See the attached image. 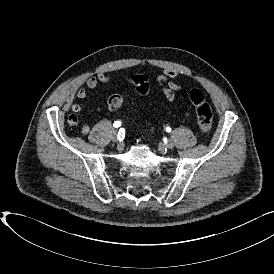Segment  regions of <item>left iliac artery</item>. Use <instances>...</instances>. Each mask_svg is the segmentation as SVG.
<instances>
[{
    "mask_svg": "<svg viewBox=\"0 0 274 274\" xmlns=\"http://www.w3.org/2000/svg\"><path fill=\"white\" fill-rule=\"evenodd\" d=\"M166 131L167 132H171V128L170 127H166Z\"/></svg>",
    "mask_w": 274,
    "mask_h": 274,
    "instance_id": "left-iliac-artery-1",
    "label": "left iliac artery"
}]
</instances>
